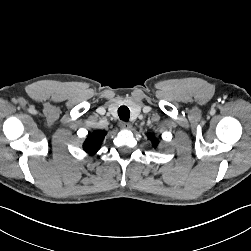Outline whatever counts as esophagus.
<instances>
[{
  "instance_id": "1",
  "label": "esophagus",
  "mask_w": 251,
  "mask_h": 251,
  "mask_svg": "<svg viewBox=\"0 0 251 251\" xmlns=\"http://www.w3.org/2000/svg\"><path fill=\"white\" fill-rule=\"evenodd\" d=\"M120 127H121L122 129L129 130V129L132 128V125H131L130 123H127V122H121V123H120Z\"/></svg>"
}]
</instances>
